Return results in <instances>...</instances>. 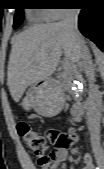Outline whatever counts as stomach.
I'll use <instances>...</instances> for the list:
<instances>
[{
	"label": "stomach",
	"instance_id": "1",
	"mask_svg": "<svg viewBox=\"0 0 104 169\" xmlns=\"http://www.w3.org/2000/svg\"><path fill=\"white\" fill-rule=\"evenodd\" d=\"M25 111L34 110L42 116H55L64 106L62 89L53 81L34 83L20 102Z\"/></svg>",
	"mask_w": 104,
	"mask_h": 169
}]
</instances>
